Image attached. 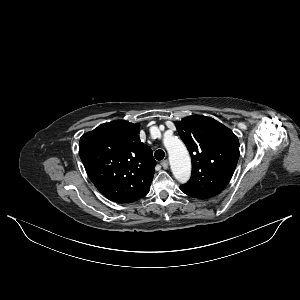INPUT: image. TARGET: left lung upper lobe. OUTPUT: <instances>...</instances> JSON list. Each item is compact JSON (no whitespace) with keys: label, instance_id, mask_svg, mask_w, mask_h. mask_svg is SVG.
<instances>
[{"label":"left lung upper lobe","instance_id":"left-lung-upper-lobe-1","mask_svg":"<svg viewBox=\"0 0 300 300\" xmlns=\"http://www.w3.org/2000/svg\"><path fill=\"white\" fill-rule=\"evenodd\" d=\"M175 124L192 160L191 178L181 187L205 198L219 194L238 162L237 136L215 119L201 115L186 117Z\"/></svg>","mask_w":300,"mask_h":300}]
</instances>
